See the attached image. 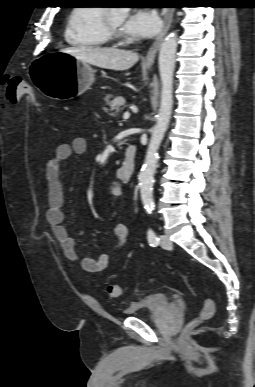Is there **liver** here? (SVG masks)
Returning a JSON list of instances; mask_svg holds the SVG:
<instances>
[{"instance_id":"1","label":"liver","mask_w":255,"mask_h":387,"mask_svg":"<svg viewBox=\"0 0 255 387\" xmlns=\"http://www.w3.org/2000/svg\"><path fill=\"white\" fill-rule=\"evenodd\" d=\"M60 52L69 53L90 65L115 71L128 70L139 60L137 53L116 48L81 46L61 49Z\"/></svg>"}]
</instances>
